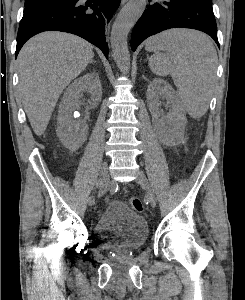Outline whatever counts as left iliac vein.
I'll use <instances>...</instances> for the list:
<instances>
[{
	"label": "left iliac vein",
	"instance_id": "4c4485c4",
	"mask_svg": "<svg viewBox=\"0 0 245 300\" xmlns=\"http://www.w3.org/2000/svg\"><path fill=\"white\" fill-rule=\"evenodd\" d=\"M135 181L147 192V197L149 199L151 207L155 208L156 207V197L155 194L153 193L149 182L145 176V174L142 171L138 172V175L135 179Z\"/></svg>",
	"mask_w": 245,
	"mask_h": 300
}]
</instances>
